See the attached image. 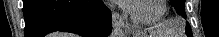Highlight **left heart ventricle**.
<instances>
[{
	"label": "left heart ventricle",
	"mask_w": 219,
	"mask_h": 37,
	"mask_svg": "<svg viewBox=\"0 0 219 37\" xmlns=\"http://www.w3.org/2000/svg\"><path fill=\"white\" fill-rule=\"evenodd\" d=\"M158 9L159 5L156 0L136 1L132 7L133 12L140 17L154 16Z\"/></svg>",
	"instance_id": "obj_1"
}]
</instances>
